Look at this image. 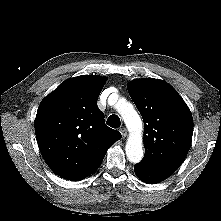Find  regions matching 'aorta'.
<instances>
[{
  "label": "aorta",
  "instance_id": "762f6f07",
  "mask_svg": "<svg viewBox=\"0 0 221 221\" xmlns=\"http://www.w3.org/2000/svg\"><path fill=\"white\" fill-rule=\"evenodd\" d=\"M118 112L122 116L129 132L126 143V155L130 162L139 163L143 158L142 143V121L138 113L131 104L125 103L118 107Z\"/></svg>",
  "mask_w": 221,
  "mask_h": 221
}]
</instances>
